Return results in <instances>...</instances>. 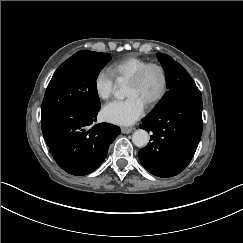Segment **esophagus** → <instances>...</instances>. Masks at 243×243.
Wrapping results in <instances>:
<instances>
[{"mask_svg": "<svg viewBox=\"0 0 243 243\" xmlns=\"http://www.w3.org/2000/svg\"><path fill=\"white\" fill-rule=\"evenodd\" d=\"M121 132L124 134H129L132 132V128H128V127H121Z\"/></svg>", "mask_w": 243, "mask_h": 243, "instance_id": "1", "label": "esophagus"}]
</instances>
